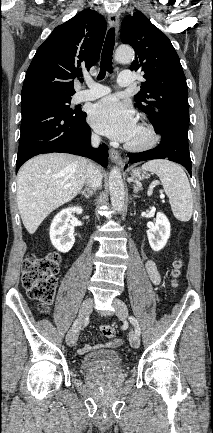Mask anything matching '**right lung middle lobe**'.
Wrapping results in <instances>:
<instances>
[{"label":"right lung middle lobe","mask_w":213,"mask_h":433,"mask_svg":"<svg viewBox=\"0 0 213 433\" xmlns=\"http://www.w3.org/2000/svg\"><path fill=\"white\" fill-rule=\"evenodd\" d=\"M71 96L72 95H59L54 93H47V92H37L32 93L27 96H22V99H33L38 100L46 103H50L52 105H55L65 113L69 115H77L81 113V110L74 109L72 110L69 106L71 103Z\"/></svg>","instance_id":"right-lung-middle-lobe-1"}]
</instances>
